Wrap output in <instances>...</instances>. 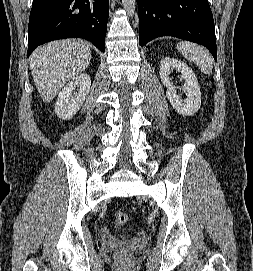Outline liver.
Returning a JSON list of instances; mask_svg holds the SVG:
<instances>
[{
  "label": "liver",
  "instance_id": "obj_1",
  "mask_svg": "<svg viewBox=\"0 0 253 271\" xmlns=\"http://www.w3.org/2000/svg\"><path fill=\"white\" fill-rule=\"evenodd\" d=\"M91 51L81 40L53 41L37 48L30 57V69L36 88L50 102L71 78L89 65Z\"/></svg>",
  "mask_w": 253,
  "mask_h": 271
}]
</instances>
